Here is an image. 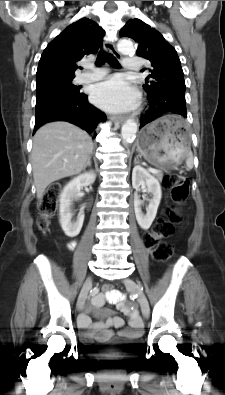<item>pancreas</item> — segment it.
I'll return each instance as SVG.
<instances>
[{
	"instance_id": "pancreas-1",
	"label": "pancreas",
	"mask_w": 225,
	"mask_h": 395,
	"mask_svg": "<svg viewBox=\"0 0 225 395\" xmlns=\"http://www.w3.org/2000/svg\"><path fill=\"white\" fill-rule=\"evenodd\" d=\"M156 175V177L158 178V179H162L163 178V175L162 174H160V173H157V174H155Z\"/></svg>"
}]
</instances>
